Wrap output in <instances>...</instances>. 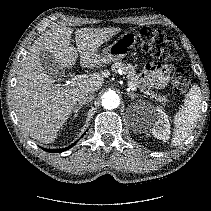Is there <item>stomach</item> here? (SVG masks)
Returning <instances> with one entry per match:
<instances>
[{
	"label": "stomach",
	"instance_id": "obj_1",
	"mask_svg": "<svg viewBox=\"0 0 211 211\" xmlns=\"http://www.w3.org/2000/svg\"><path fill=\"white\" fill-rule=\"evenodd\" d=\"M137 36L131 31L121 34L111 45L102 51V58L106 63L124 58L135 46Z\"/></svg>",
	"mask_w": 211,
	"mask_h": 211
}]
</instances>
